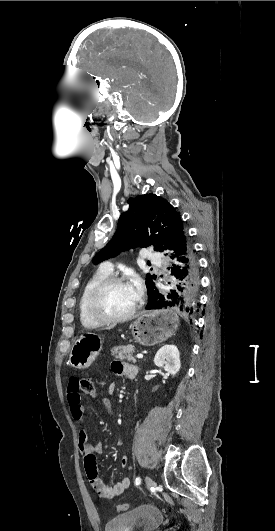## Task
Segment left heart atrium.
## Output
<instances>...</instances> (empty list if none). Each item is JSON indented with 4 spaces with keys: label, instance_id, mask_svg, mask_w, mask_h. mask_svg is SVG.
Listing matches in <instances>:
<instances>
[{
    "label": "left heart atrium",
    "instance_id": "left-heart-atrium-1",
    "mask_svg": "<svg viewBox=\"0 0 275 531\" xmlns=\"http://www.w3.org/2000/svg\"><path fill=\"white\" fill-rule=\"evenodd\" d=\"M129 284L133 292L135 293V295L138 296V293L140 292V289H141V282H140L139 277L136 274L131 275L129 279Z\"/></svg>",
    "mask_w": 275,
    "mask_h": 531
}]
</instances>
